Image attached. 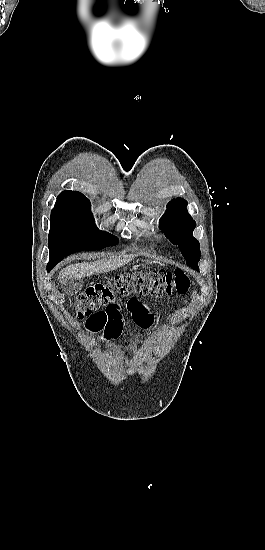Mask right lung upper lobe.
I'll return each mask as SVG.
<instances>
[{
	"label": "right lung upper lobe",
	"mask_w": 265,
	"mask_h": 550,
	"mask_svg": "<svg viewBox=\"0 0 265 550\" xmlns=\"http://www.w3.org/2000/svg\"><path fill=\"white\" fill-rule=\"evenodd\" d=\"M87 199L82 193L76 191H63L57 198L56 203L78 202Z\"/></svg>",
	"instance_id": "cb5924a9"
}]
</instances>
